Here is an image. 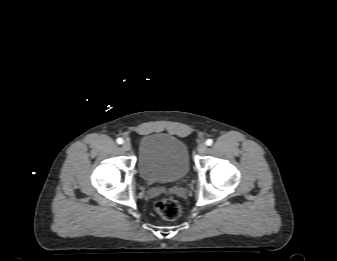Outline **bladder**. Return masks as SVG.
I'll return each mask as SVG.
<instances>
[{
	"instance_id": "bladder-1",
	"label": "bladder",
	"mask_w": 337,
	"mask_h": 261,
	"mask_svg": "<svg viewBox=\"0 0 337 261\" xmlns=\"http://www.w3.org/2000/svg\"><path fill=\"white\" fill-rule=\"evenodd\" d=\"M138 169L147 182L182 181L190 170L187 146L182 140L168 134L145 135L139 142Z\"/></svg>"
}]
</instances>
